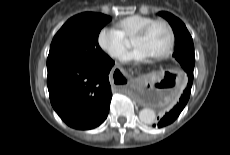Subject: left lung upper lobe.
I'll return each mask as SVG.
<instances>
[{"mask_svg": "<svg viewBox=\"0 0 230 155\" xmlns=\"http://www.w3.org/2000/svg\"><path fill=\"white\" fill-rule=\"evenodd\" d=\"M159 15L164 17L171 25L175 35V50L173 56L181 64L187 73V67L192 71L195 64L194 45L192 37L185 24L173 14L161 11Z\"/></svg>", "mask_w": 230, "mask_h": 155, "instance_id": "left-lung-upper-lobe-1", "label": "left lung upper lobe"}]
</instances>
